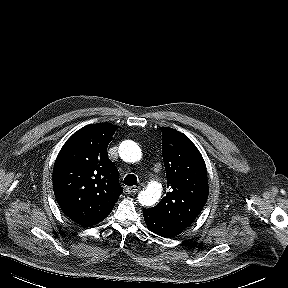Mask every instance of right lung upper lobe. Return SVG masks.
<instances>
[{"label": "right lung upper lobe", "instance_id": "right-lung-upper-lobe-1", "mask_svg": "<svg viewBox=\"0 0 288 288\" xmlns=\"http://www.w3.org/2000/svg\"><path fill=\"white\" fill-rule=\"evenodd\" d=\"M118 128L90 124L63 145L53 170L55 198L67 217L90 226L105 219L122 193L118 170L107 147Z\"/></svg>", "mask_w": 288, "mask_h": 288}]
</instances>
